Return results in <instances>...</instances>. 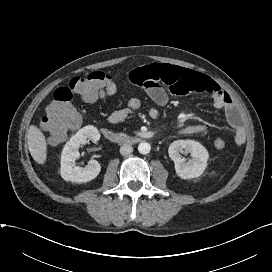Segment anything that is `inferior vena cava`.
Listing matches in <instances>:
<instances>
[{
  "label": "inferior vena cava",
  "mask_w": 272,
  "mask_h": 272,
  "mask_svg": "<svg viewBox=\"0 0 272 272\" xmlns=\"http://www.w3.org/2000/svg\"><path fill=\"white\" fill-rule=\"evenodd\" d=\"M133 152V147L129 144H124L120 147L121 155H129Z\"/></svg>",
  "instance_id": "obj_1"
}]
</instances>
